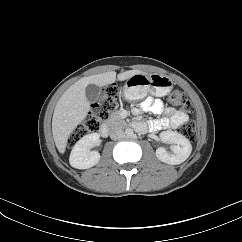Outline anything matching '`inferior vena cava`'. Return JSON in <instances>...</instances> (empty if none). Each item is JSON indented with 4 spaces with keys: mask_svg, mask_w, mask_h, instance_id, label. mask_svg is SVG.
<instances>
[{
    "mask_svg": "<svg viewBox=\"0 0 242 242\" xmlns=\"http://www.w3.org/2000/svg\"><path fill=\"white\" fill-rule=\"evenodd\" d=\"M123 130L120 127H113L110 131V138L117 140L123 136Z\"/></svg>",
    "mask_w": 242,
    "mask_h": 242,
    "instance_id": "inferior-vena-cava-1",
    "label": "inferior vena cava"
}]
</instances>
